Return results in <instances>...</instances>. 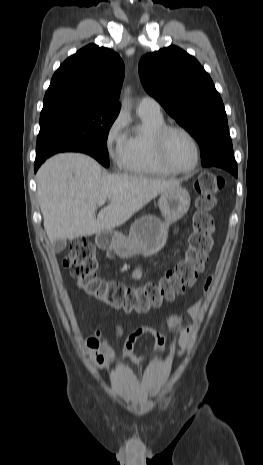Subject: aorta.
Here are the masks:
<instances>
[{"label":"aorta","mask_w":263,"mask_h":465,"mask_svg":"<svg viewBox=\"0 0 263 465\" xmlns=\"http://www.w3.org/2000/svg\"><path fill=\"white\" fill-rule=\"evenodd\" d=\"M124 104H127V101H126V100H124Z\"/></svg>","instance_id":"762f6f07"}]
</instances>
